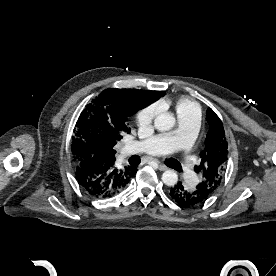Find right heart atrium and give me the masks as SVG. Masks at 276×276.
Here are the masks:
<instances>
[{"mask_svg": "<svg viewBox=\"0 0 276 276\" xmlns=\"http://www.w3.org/2000/svg\"><path fill=\"white\" fill-rule=\"evenodd\" d=\"M157 113V108L154 105L148 106L140 110L137 114V122L140 126L150 124Z\"/></svg>", "mask_w": 276, "mask_h": 276, "instance_id": "d8ad5b80", "label": "right heart atrium"}]
</instances>
